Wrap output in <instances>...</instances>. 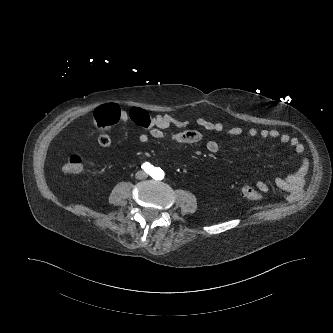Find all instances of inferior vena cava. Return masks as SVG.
I'll use <instances>...</instances> for the list:
<instances>
[{
	"instance_id": "1",
	"label": "inferior vena cava",
	"mask_w": 333,
	"mask_h": 333,
	"mask_svg": "<svg viewBox=\"0 0 333 333\" xmlns=\"http://www.w3.org/2000/svg\"><path fill=\"white\" fill-rule=\"evenodd\" d=\"M147 176L148 175L145 172H143V171H139L135 175L136 179H139V180L145 179V178H147Z\"/></svg>"
}]
</instances>
